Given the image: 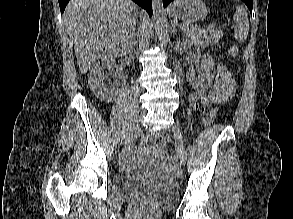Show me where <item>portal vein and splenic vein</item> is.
Returning a JSON list of instances; mask_svg holds the SVG:
<instances>
[{
  "label": "portal vein and splenic vein",
  "mask_w": 293,
  "mask_h": 219,
  "mask_svg": "<svg viewBox=\"0 0 293 219\" xmlns=\"http://www.w3.org/2000/svg\"><path fill=\"white\" fill-rule=\"evenodd\" d=\"M216 24L215 23H212L210 24L208 27H207V30H210V31H216L218 29L215 28Z\"/></svg>",
  "instance_id": "18ae733b"
}]
</instances>
